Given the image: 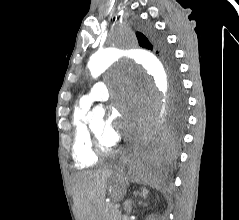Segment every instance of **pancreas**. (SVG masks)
<instances>
[{
    "label": "pancreas",
    "instance_id": "pancreas-1",
    "mask_svg": "<svg viewBox=\"0 0 239 220\" xmlns=\"http://www.w3.org/2000/svg\"><path fill=\"white\" fill-rule=\"evenodd\" d=\"M103 220H121V212L115 209L113 203L106 204L103 210Z\"/></svg>",
    "mask_w": 239,
    "mask_h": 220
}]
</instances>
